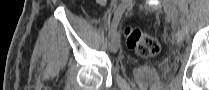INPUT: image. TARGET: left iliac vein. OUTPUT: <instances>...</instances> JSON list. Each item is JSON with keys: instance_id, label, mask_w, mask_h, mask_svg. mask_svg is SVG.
I'll return each instance as SVG.
<instances>
[{"instance_id": "left-iliac-vein-1", "label": "left iliac vein", "mask_w": 209, "mask_h": 90, "mask_svg": "<svg viewBox=\"0 0 209 90\" xmlns=\"http://www.w3.org/2000/svg\"><path fill=\"white\" fill-rule=\"evenodd\" d=\"M165 12L167 16L172 20L174 23H178L179 21V12L173 0H165L163 1ZM173 32H178V27L175 25L173 27Z\"/></svg>"}]
</instances>
